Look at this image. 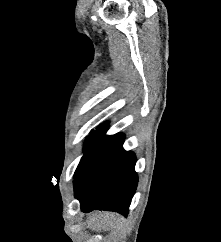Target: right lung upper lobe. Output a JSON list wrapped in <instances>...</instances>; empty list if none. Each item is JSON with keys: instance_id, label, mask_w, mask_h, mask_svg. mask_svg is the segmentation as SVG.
Here are the masks:
<instances>
[{"instance_id": "1", "label": "right lung upper lobe", "mask_w": 221, "mask_h": 242, "mask_svg": "<svg viewBox=\"0 0 221 242\" xmlns=\"http://www.w3.org/2000/svg\"><path fill=\"white\" fill-rule=\"evenodd\" d=\"M105 126H106V123L100 125L99 128H102V127H105Z\"/></svg>"}]
</instances>
